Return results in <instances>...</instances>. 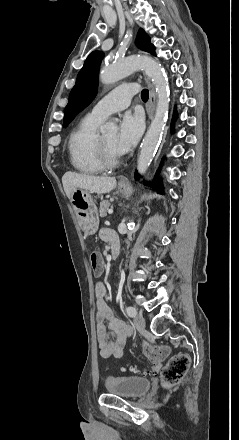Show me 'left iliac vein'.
<instances>
[{"instance_id":"left-iliac-vein-1","label":"left iliac vein","mask_w":239,"mask_h":440,"mask_svg":"<svg viewBox=\"0 0 239 440\" xmlns=\"http://www.w3.org/2000/svg\"><path fill=\"white\" fill-rule=\"evenodd\" d=\"M134 324L138 330H144L146 326L144 317L142 315H137L134 318Z\"/></svg>"}]
</instances>
